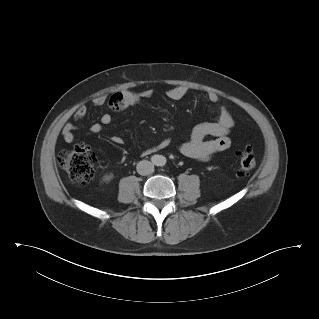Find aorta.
<instances>
[{
    "label": "aorta",
    "instance_id": "762f6f07",
    "mask_svg": "<svg viewBox=\"0 0 319 319\" xmlns=\"http://www.w3.org/2000/svg\"><path fill=\"white\" fill-rule=\"evenodd\" d=\"M165 157H163V156H158V160H157V162H156V164L158 165V166H162V165H164L165 164Z\"/></svg>",
    "mask_w": 319,
    "mask_h": 319
}]
</instances>
